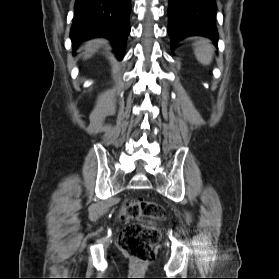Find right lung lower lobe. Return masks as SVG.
<instances>
[{"label":"right lung lower lobe","instance_id":"98d812e1","mask_svg":"<svg viewBox=\"0 0 279 279\" xmlns=\"http://www.w3.org/2000/svg\"><path fill=\"white\" fill-rule=\"evenodd\" d=\"M70 32L76 48L95 35L110 39L117 59L122 60L130 33L131 0H76Z\"/></svg>","mask_w":279,"mask_h":279}]
</instances>
